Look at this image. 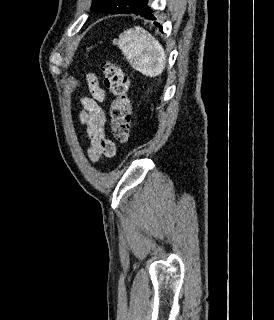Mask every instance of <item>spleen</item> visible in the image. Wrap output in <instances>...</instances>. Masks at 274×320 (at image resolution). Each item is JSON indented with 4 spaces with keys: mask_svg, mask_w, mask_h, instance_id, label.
Listing matches in <instances>:
<instances>
[{
    "mask_svg": "<svg viewBox=\"0 0 274 320\" xmlns=\"http://www.w3.org/2000/svg\"><path fill=\"white\" fill-rule=\"evenodd\" d=\"M133 70L148 78H156L165 70V52L163 46L146 30L136 26L120 34L116 44Z\"/></svg>",
    "mask_w": 274,
    "mask_h": 320,
    "instance_id": "1",
    "label": "spleen"
}]
</instances>
